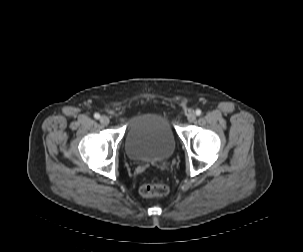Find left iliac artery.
Here are the masks:
<instances>
[{
  "instance_id": "1",
  "label": "left iliac artery",
  "mask_w": 303,
  "mask_h": 252,
  "mask_svg": "<svg viewBox=\"0 0 303 252\" xmlns=\"http://www.w3.org/2000/svg\"><path fill=\"white\" fill-rule=\"evenodd\" d=\"M201 113H202V112H201V110H200V109H197V110H196V115H197V116H200V115H201Z\"/></svg>"
}]
</instances>
